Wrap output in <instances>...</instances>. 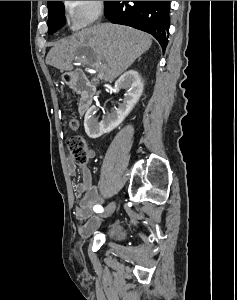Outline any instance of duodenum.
<instances>
[{
  "mask_svg": "<svg viewBox=\"0 0 237 300\" xmlns=\"http://www.w3.org/2000/svg\"><path fill=\"white\" fill-rule=\"evenodd\" d=\"M67 84L80 95L79 112L85 113L91 106L96 94V87L80 70H73L66 76Z\"/></svg>",
  "mask_w": 237,
  "mask_h": 300,
  "instance_id": "duodenum-1",
  "label": "duodenum"
}]
</instances>
